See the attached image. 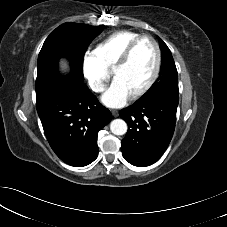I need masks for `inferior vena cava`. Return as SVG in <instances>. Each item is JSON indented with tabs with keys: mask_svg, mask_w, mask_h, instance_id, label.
<instances>
[{
	"mask_svg": "<svg viewBox=\"0 0 227 227\" xmlns=\"http://www.w3.org/2000/svg\"><path fill=\"white\" fill-rule=\"evenodd\" d=\"M93 90L95 92H102V91H104V85H102V84H94L93 85Z\"/></svg>",
	"mask_w": 227,
	"mask_h": 227,
	"instance_id": "obj_1",
	"label": "inferior vena cava"
}]
</instances>
